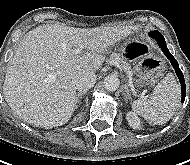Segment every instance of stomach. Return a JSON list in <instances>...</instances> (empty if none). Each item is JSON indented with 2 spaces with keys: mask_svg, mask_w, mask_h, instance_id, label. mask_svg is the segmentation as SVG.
<instances>
[{
  "mask_svg": "<svg viewBox=\"0 0 190 165\" xmlns=\"http://www.w3.org/2000/svg\"><path fill=\"white\" fill-rule=\"evenodd\" d=\"M118 56L129 62V70L137 76L139 87L154 85L162 76L164 61L149 50V43L143 36H123L118 41Z\"/></svg>",
  "mask_w": 190,
  "mask_h": 165,
  "instance_id": "obj_1",
  "label": "stomach"
}]
</instances>
